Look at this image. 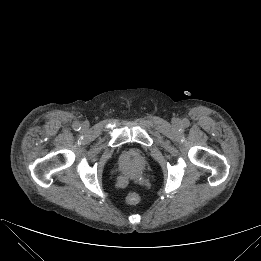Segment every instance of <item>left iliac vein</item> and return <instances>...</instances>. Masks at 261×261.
Masks as SVG:
<instances>
[{"instance_id":"4c4485c4","label":"left iliac vein","mask_w":261,"mask_h":261,"mask_svg":"<svg viewBox=\"0 0 261 261\" xmlns=\"http://www.w3.org/2000/svg\"><path fill=\"white\" fill-rule=\"evenodd\" d=\"M178 123H179L178 120H175V121H174V124H175V125H178Z\"/></svg>"}]
</instances>
